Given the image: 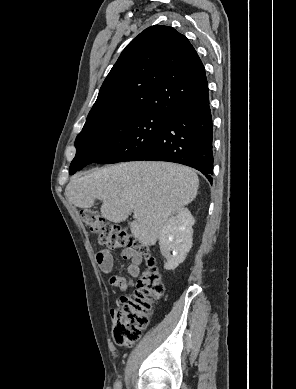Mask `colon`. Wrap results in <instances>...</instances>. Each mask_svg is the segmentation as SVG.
I'll return each mask as SVG.
<instances>
[{"mask_svg": "<svg viewBox=\"0 0 296 389\" xmlns=\"http://www.w3.org/2000/svg\"><path fill=\"white\" fill-rule=\"evenodd\" d=\"M81 218L89 231L98 234L100 244L110 248H136L144 256L145 270L136 283L135 291L122 296L121 307L111 311L115 343L120 346L132 345L140 339L148 325L153 303L163 296L162 274L148 248L126 229L106 223L93 209H82Z\"/></svg>", "mask_w": 296, "mask_h": 389, "instance_id": "colon-1", "label": "colon"}]
</instances>
